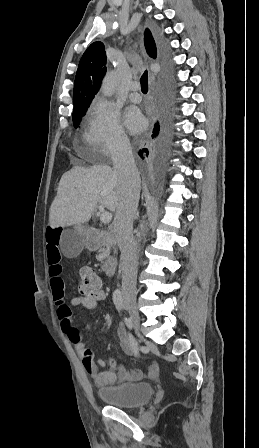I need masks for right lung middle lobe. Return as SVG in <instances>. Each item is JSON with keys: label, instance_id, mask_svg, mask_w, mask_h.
<instances>
[{"label": "right lung middle lobe", "instance_id": "right-lung-middle-lobe-1", "mask_svg": "<svg viewBox=\"0 0 259 448\" xmlns=\"http://www.w3.org/2000/svg\"><path fill=\"white\" fill-rule=\"evenodd\" d=\"M86 111L87 108L73 110L72 120L75 128L78 127L79 123L81 122V118L85 115Z\"/></svg>", "mask_w": 259, "mask_h": 448}]
</instances>
